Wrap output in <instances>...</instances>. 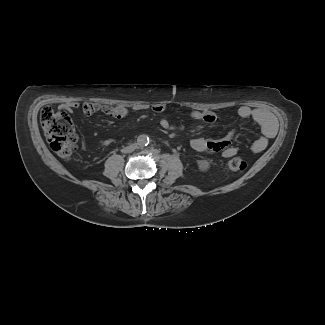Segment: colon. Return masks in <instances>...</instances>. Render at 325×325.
<instances>
[{"label":"colon","mask_w":325,"mask_h":325,"mask_svg":"<svg viewBox=\"0 0 325 325\" xmlns=\"http://www.w3.org/2000/svg\"><path fill=\"white\" fill-rule=\"evenodd\" d=\"M40 122L51 149L63 159H69L77 146V136L73 128L65 122L59 112L45 106L40 112ZM246 163L239 157L231 158L226 163L229 172H241Z\"/></svg>","instance_id":"obj_1"}]
</instances>
